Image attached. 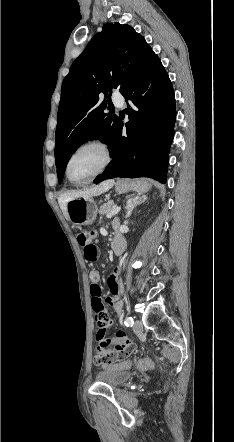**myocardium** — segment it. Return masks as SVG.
Instances as JSON below:
<instances>
[{
	"mask_svg": "<svg viewBox=\"0 0 234 442\" xmlns=\"http://www.w3.org/2000/svg\"><path fill=\"white\" fill-rule=\"evenodd\" d=\"M89 147H95V148H98L101 150V152L103 153V162H102L101 166L99 167V169L92 176H90L88 179L81 181V182L75 181L70 176V171H69L70 162H71L73 156L77 152H79L82 149L89 148ZM112 158H113V155H112L111 148L105 141L100 140V139H93V140L86 141V142L78 145L68 156L67 161H66V166H65L66 176H67L68 180L75 185L88 184L92 180H94L97 176L102 174L108 168V166L112 162Z\"/></svg>",
	"mask_w": 234,
	"mask_h": 442,
	"instance_id": "myocardium-1",
	"label": "myocardium"
}]
</instances>
